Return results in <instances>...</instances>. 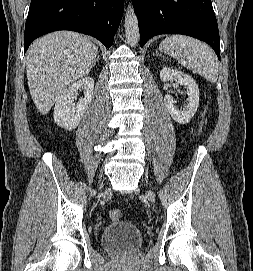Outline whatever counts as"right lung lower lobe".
I'll list each match as a JSON object with an SVG mask.
<instances>
[{
  "mask_svg": "<svg viewBox=\"0 0 253 271\" xmlns=\"http://www.w3.org/2000/svg\"><path fill=\"white\" fill-rule=\"evenodd\" d=\"M123 10L124 0H31L24 53L36 38L56 30L91 35L109 48Z\"/></svg>",
  "mask_w": 253,
  "mask_h": 271,
  "instance_id": "obj_1",
  "label": "right lung lower lobe"
}]
</instances>
